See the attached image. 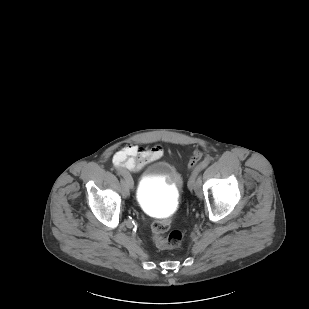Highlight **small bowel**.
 <instances>
[{"label":"small bowel","mask_w":309,"mask_h":309,"mask_svg":"<svg viewBox=\"0 0 309 309\" xmlns=\"http://www.w3.org/2000/svg\"><path fill=\"white\" fill-rule=\"evenodd\" d=\"M163 154L161 146L156 145L151 148H143L137 145H128L115 153L113 163L117 167L138 172L147 164L158 160Z\"/></svg>","instance_id":"small-bowel-1"}]
</instances>
